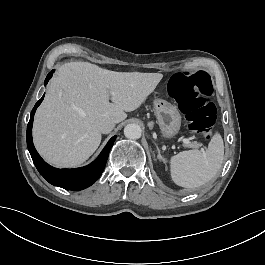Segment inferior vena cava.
Masks as SVG:
<instances>
[{
    "label": "inferior vena cava",
    "instance_id": "inferior-vena-cava-1",
    "mask_svg": "<svg viewBox=\"0 0 265 265\" xmlns=\"http://www.w3.org/2000/svg\"><path fill=\"white\" fill-rule=\"evenodd\" d=\"M98 129L103 133H108L115 126V121L108 117L100 118L96 121Z\"/></svg>",
    "mask_w": 265,
    "mask_h": 265
}]
</instances>
